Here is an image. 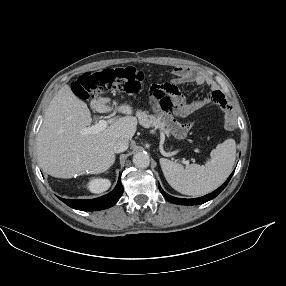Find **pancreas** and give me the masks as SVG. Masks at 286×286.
I'll return each mask as SVG.
<instances>
[{"label": "pancreas", "mask_w": 286, "mask_h": 286, "mask_svg": "<svg viewBox=\"0 0 286 286\" xmlns=\"http://www.w3.org/2000/svg\"><path fill=\"white\" fill-rule=\"evenodd\" d=\"M137 117L139 119V123L143 127H154L155 129H159L162 132L168 134V131L165 129V125L160 118H157L153 115H149L148 112H137Z\"/></svg>", "instance_id": "obj_1"}]
</instances>
